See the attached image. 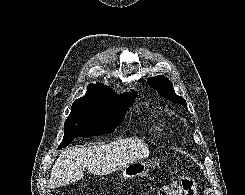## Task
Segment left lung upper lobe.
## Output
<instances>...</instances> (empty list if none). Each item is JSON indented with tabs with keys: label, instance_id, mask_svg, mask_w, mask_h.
Instances as JSON below:
<instances>
[{
	"label": "left lung upper lobe",
	"instance_id": "5c2ea615",
	"mask_svg": "<svg viewBox=\"0 0 245 195\" xmlns=\"http://www.w3.org/2000/svg\"><path fill=\"white\" fill-rule=\"evenodd\" d=\"M148 83L152 88L156 89L157 92L162 97H164L170 101L181 103L184 106H187L186 101L182 97L177 96L175 94L172 82L169 81V79H167L166 77H164L162 75L152 77V78L148 79Z\"/></svg>",
	"mask_w": 245,
	"mask_h": 195
}]
</instances>
